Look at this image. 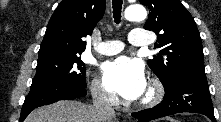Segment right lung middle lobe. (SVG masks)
Returning <instances> with one entry per match:
<instances>
[{
	"mask_svg": "<svg viewBox=\"0 0 221 122\" xmlns=\"http://www.w3.org/2000/svg\"><path fill=\"white\" fill-rule=\"evenodd\" d=\"M86 68L78 55L38 59L31 89L70 84L86 87Z\"/></svg>",
	"mask_w": 221,
	"mask_h": 122,
	"instance_id": "right-lung-middle-lobe-1",
	"label": "right lung middle lobe"
}]
</instances>
